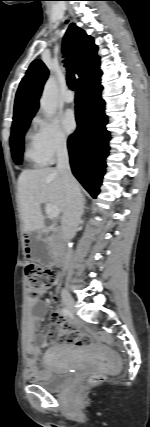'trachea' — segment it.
Wrapping results in <instances>:
<instances>
[{
  "label": "trachea",
  "mask_w": 150,
  "mask_h": 427,
  "mask_svg": "<svg viewBox=\"0 0 150 427\" xmlns=\"http://www.w3.org/2000/svg\"><path fill=\"white\" fill-rule=\"evenodd\" d=\"M65 67H67V84L69 88L74 91L76 89V79L74 73L70 70L68 64H65Z\"/></svg>",
  "instance_id": "trachea-1"
}]
</instances>
